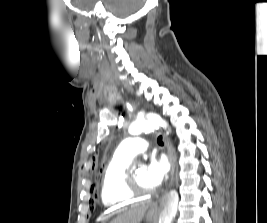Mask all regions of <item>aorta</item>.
I'll list each match as a JSON object with an SVG mask.
<instances>
[{"mask_svg":"<svg viewBox=\"0 0 267 223\" xmlns=\"http://www.w3.org/2000/svg\"><path fill=\"white\" fill-rule=\"evenodd\" d=\"M159 127H166L158 117L137 120L129 127V133L139 135L142 132L153 131ZM179 203V195L176 191L165 194L159 203L158 223H173Z\"/></svg>","mask_w":267,"mask_h":223,"instance_id":"aorta-1","label":"aorta"}]
</instances>
